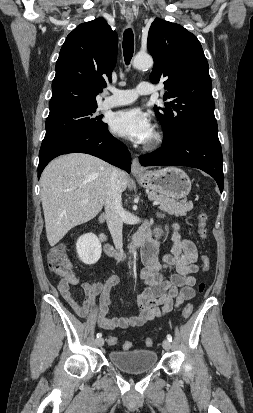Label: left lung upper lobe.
Returning <instances> with one entry per match:
<instances>
[{
	"mask_svg": "<svg viewBox=\"0 0 253 413\" xmlns=\"http://www.w3.org/2000/svg\"><path fill=\"white\" fill-rule=\"evenodd\" d=\"M147 48L154 58L152 83L164 81L165 108H154L164 131L163 144L192 132L218 135L208 62L197 37L179 24L156 18Z\"/></svg>",
	"mask_w": 253,
	"mask_h": 413,
	"instance_id": "obj_1",
	"label": "left lung upper lobe"
}]
</instances>
